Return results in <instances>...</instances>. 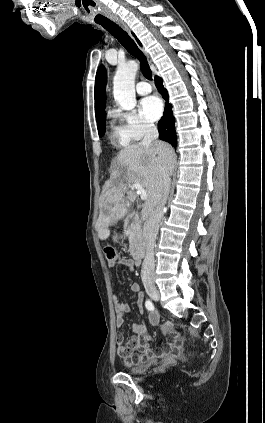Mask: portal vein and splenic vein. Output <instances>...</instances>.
<instances>
[{
  "mask_svg": "<svg viewBox=\"0 0 265 423\" xmlns=\"http://www.w3.org/2000/svg\"><path fill=\"white\" fill-rule=\"evenodd\" d=\"M126 188H134L136 190V193L140 196L141 200H146L147 199V193L145 191V189L138 183L135 184H128V186H126Z\"/></svg>",
  "mask_w": 265,
  "mask_h": 423,
  "instance_id": "18ae733b",
  "label": "portal vein and splenic vein"
}]
</instances>
